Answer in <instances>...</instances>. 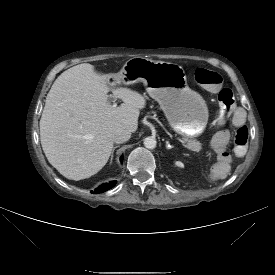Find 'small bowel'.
Segmentation results:
<instances>
[{"label": "small bowel", "mask_w": 275, "mask_h": 275, "mask_svg": "<svg viewBox=\"0 0 275 275\" xmlns=\"http://www.w3.org/2000/svg\"><path fill=\"white\" fill-rule=\"evenodd\" d=\"M232 122L236 129L246 127V113L242 108L235 109ZM233 140L232 133L222 128L216 130L209 141V150L216 155L208 170V175L215 182L224 180L232 167L233 157L226 150L232 146Z\"/></svg>", "instance_id": "obj_1"}]
</instances>
